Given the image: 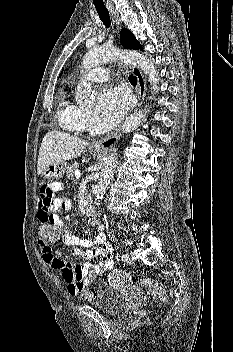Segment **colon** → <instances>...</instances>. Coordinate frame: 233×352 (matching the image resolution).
Returning a JSON list of instances; mask_svg holds the SVG:
<instances>
[{
  "instance_id": "colon-1",
  "label": "colon",
  "mask_w": 233,
  "mask_h": 352,
  "mask_svg": "<svg viewBox=\"0 0 233 352\" xmlns=\"http://www.w3.org/2000/svg\"><path fill=\"white\" fill-rule=\"evenodd\" d=\"M38 234L40 240L45 244L53 243L57 241L61 236V230L49 223H41L38 227ZM141 285L145 293L156 300L165 302L167 300V295L164 289L154 280L150 278L141 279ZM95 295V291L92 289H83L81 291V296L85 300H91Z\"/></svg>"
}]
</instances>
